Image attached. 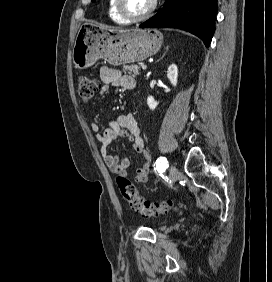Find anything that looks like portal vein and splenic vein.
Returning <instances> with one entry per match:
<instances>
[{"label": "portal vein and splenic vein", "instance_id": "obj_1", "mask_svg": "<svg viewBox=\"0 0 272 282\" xmlns=\"http://www.w3.org/2000/svg\"><path fill=\"white\" fill-rule=\"evenodd\" d=\"M147 66L146 65H142V70H146Z\"/></svg>", "mask_w": 272, "mask_h": 282}]
</instances>
